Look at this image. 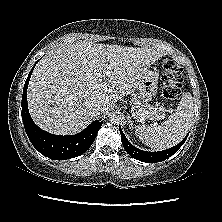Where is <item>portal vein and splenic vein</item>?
Listing matches in <instances>:
<instances>
[{
    "label": "portal vein and splenic vein",
    "mask_w": 222,
    "mask_h": 222,
    "mask_svg": "<svg viewBox=\"0 0 222 222\" xmlns=\"http://www.w3.org/2000/svg\"><path fill=\"white\" fill-rule=\"evenodd\" d=\"M165 111H168V110H165ZM142 116L144 115V114H141ZM164 117L163 116H157V119L158 120H161V119H163Z\"/></svg>",
    "instance_id": "1"
}]
</instances>
